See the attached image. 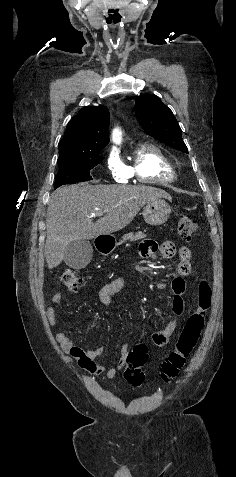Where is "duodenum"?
<instances>
[{
  "label": "duodenum",
  "mask_w": 236,
  "mask_h": 477,
  "mask_svg": "<svg viewBox=\"0 0 236 477\" xmlns=\"http://www.w3.org/2000/svg\"><path fill=\"white\" fill-rule=\"evenodd\" d=\"M112 245H113V243L111 242V240L98 238L97 246H98L100 249L104 250V249H106V248H108V247H110V246H112Z\"/></svg>",
  "instance_id": "obj_1"
}]
</instances>
